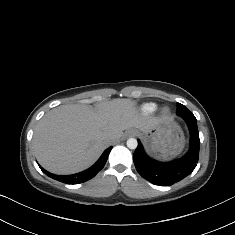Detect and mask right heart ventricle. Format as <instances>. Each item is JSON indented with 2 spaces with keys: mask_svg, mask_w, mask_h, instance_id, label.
Wrapping results in <instances>:
<instances>
[{
  "mask_svg": "<svg viewBox=\"0 0 235 235\" xmlns=\"http://www.w3.org/2000/svg\"><path fill=\"white\" fill-rule=\"evenodd\" d=\"M126 110L127 102L123 100H117L108 107V111L113 117L122 115ZM141 111L146 115L154 114L157 111V106L155 104H145L141 107Z\"/></svg>",
  "mask_w": 235,
  "mask_h": 235,
  "instance_id": "right-heart-ventricle-1",
  "label": "right heart ventricle"
}]
</instances>
